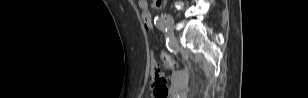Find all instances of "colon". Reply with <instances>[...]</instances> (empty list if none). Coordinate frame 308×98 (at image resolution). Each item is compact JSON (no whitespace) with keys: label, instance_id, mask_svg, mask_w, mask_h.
Segmentation results:
<instances>
[{"label":"colon","instance_id":"5ec220e1","mask_svg":"<svg viewBox=\"0 0 308 98\" xmlns=\"http://www.w3.org/2000/svg\"><path fill=\"white\" fill-rule=\"evenodd\" d=\"M150 9H141L139 11V14L143 16L144 21V31H155V24H152L150 21V15H151ZM161 59L164 63V65L168 69H175L177 67V63L175 59L170 56L169 54H163L161 56ZM151 73L153 77L152 87L154 90V95L156 98H165L168 94V85L167 80L165 76L163 75L159 64L157 61L153 58L151 62Z\"/></svg>","mask_w":308,"mask_h":98}]
</instances>
